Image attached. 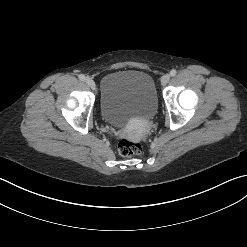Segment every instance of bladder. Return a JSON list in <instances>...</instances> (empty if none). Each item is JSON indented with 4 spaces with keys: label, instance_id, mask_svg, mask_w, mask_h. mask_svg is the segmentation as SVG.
<instances>
[{
    "label": "bladder",
    "instance_id": "obj_1",
    "mask_svg": "<svg viewBox=\"0 0 247 247\" xmlns=\"http://www.w3.org/2000/svg\"><path fill=\"white\" fill-rule=\"evenodd\" d=\"M103 120L126 128L133 120L152 119L158 109V96L152 77L141 71H118L105 75L100 83Z\"/></svg>",
    "mask_w": 247,
    "mask_h": 247
}]
</instances>
